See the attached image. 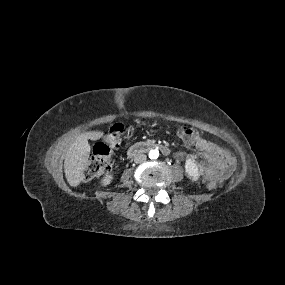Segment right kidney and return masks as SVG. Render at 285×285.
<instances>
[{
  "label": "right kidney",
  "mask_w": 285,
  "mask_h": 285,
  "mask_svg": "<svg viewBox=\"0 0 285 285\" xmlns=\"http://www.w3.org/2000/svg\"><path fill=\"white\" fill-rule=\"evenodd\" d=\"M113 180V176L112 175H108L106 176L103 180H102V184L105 185H109Z\"/></svg>",
  "instance_id": "obj_1"
}]
</instances>
